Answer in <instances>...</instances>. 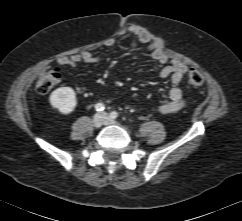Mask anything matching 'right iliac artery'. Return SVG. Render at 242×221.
Wrapping results in <instances>:
<instances>
[{
  "label": "right iliac artery",
  "instance_id": "right-iliac-artery-1",
  "mask_svg": "<svg viewBox=\"0 0 242 221\" xmlns=\"http://www.w3.org/2000/svg\"><path fill=\"white\" fill-rule=\"evenodd\" d=\"M105 109V106H104V104H102V103H97L96 105H95V110L96 111H103Z\"/></svg>",
  "mask_w": 242,
  "mask_h": 221
}]
</instances>
